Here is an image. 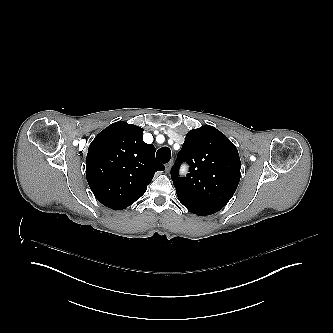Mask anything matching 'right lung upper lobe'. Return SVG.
Returning <instances> with one entry per match:
<instances>
[{
	"mask_svg": "<svg viewBox=\"0 0 333 333\" xmlns=\"http://www.w3.org/2000/svg\"><path fill=\"white\" fill-rule=\"evenodd\" d=\"M164 165L155 159V147L143 141V129L116 122L91 142L86 177L95 197L105 206L121 210L142 196L156 171Z\"/></svg>",
	"mask_w": 333,
	"mask_h": 333,
	"instance_id": "right-lung-upper-lobe-1",
	"label": "right lung upper lobe"
}]
</instances>
